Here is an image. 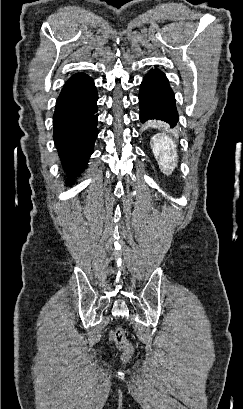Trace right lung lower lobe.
Wrapping results in <instances>:
<instances>
[{"mask_svg": "<svg viewBox=\"0 0 243 409\" xmlns=\"http://www.w3.org/2000/svg\"><path fill=\"white\" fill-rule=\"evenodd\" d=\"M97 100L94 80L84 73L71 76L57 99L53 137L63 167L70 174L83 171L93 153L98 135Z\"/></svg>", "mask_w": 243, "mask_h": 409, "instance_id": "right-lung-lower-lobe-1", "label": "right lung lower lobe"}]
</instances>
